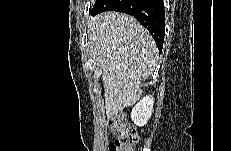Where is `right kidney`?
Wrapping results in <instances>:
<instances>
[{"label":"right kidney","mask_w":231,"mask_h":151,"mask_svg":"<svg viewBox=\"0 0 231 151\" xmlns=\"http://www.w3.org/2000/svg\"><path fill=\"white\" fill-rule=\"evenodd\" d=\"M154 105L152 95L144 97L132 109L131 119L137 126H144L151 118Z\"/></svg>","instance_id":"right-kidney-1"}]
</instances>
